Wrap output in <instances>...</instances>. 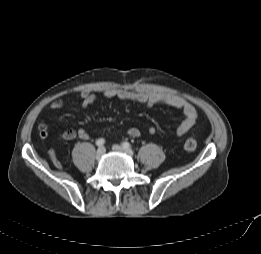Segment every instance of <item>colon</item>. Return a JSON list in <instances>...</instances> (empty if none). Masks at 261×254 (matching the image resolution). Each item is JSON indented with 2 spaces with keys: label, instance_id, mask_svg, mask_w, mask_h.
Returning a JSON list of instances; mask_svg holds the SVG:
<instances>
[{
  "label": "colon",
  "instance_id": "5ec220e1",
  "mask_svg": "<svg viewBox=\"0 0 261 254\" xmlns=\"http://www.w3.org/2000/svg\"><path fill=\"white\" fill-rule=\"evenodd\" d=\"M197 147V141L194 137H189L187 138V140L185 141V144H184V148L185 150L187 151H194ZM55 166L57 168H61L62 165L60 164V162H55Z\"/></svg>",
  "mask_w": 261,
  "mask_h": 254
}]
</instances>
